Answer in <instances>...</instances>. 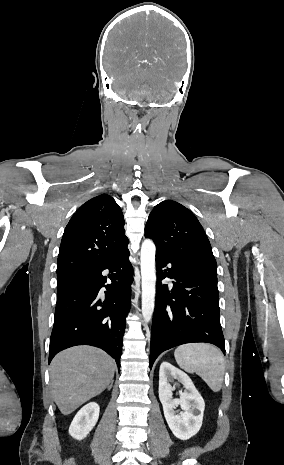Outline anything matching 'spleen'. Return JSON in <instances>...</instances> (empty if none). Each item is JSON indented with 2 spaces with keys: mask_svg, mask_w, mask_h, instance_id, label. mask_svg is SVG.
<instances>
[{
  "mask_svg": "<svg viewBox=\"0 0 284 465\" xmlns=\"http://www.w3.org/2000/svg\"><path fill=\"white\" fill-rule=\"evenodd\" d=\"M174 357L186 373H196L208 387L218 393L224 381V357L208 343H189L175 349Z\"/></svg>",
  "mask_w": 284,
  "mask_h": 465,
  "instance_id": "1",
  "label": "spleen"
}]
</instances>
